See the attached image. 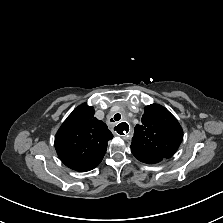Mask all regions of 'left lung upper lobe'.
I'll return each mask as SVG.
<instances>
[{
    "instance_id": "left-lung-upper-lobe-1",
    "label": "left lung upper lobe",
    "mask_w": 223,
    "mask_h": 223,
    "mask_svg": "<svg viewBox=\"0 0 223 223\" xmlns=\"http://www.w3.org/2000/svg\"><path fill=\"white\" fill-rule=\"evenodd\" d=\"M141 121L134 129L132 150L163 159L173 156L183 139L177 119L165 107L151 104L144 108Z\"/></svg>"
}]
</instances>
